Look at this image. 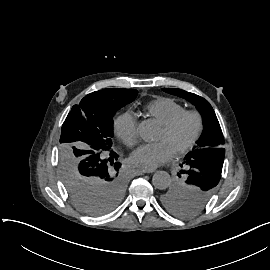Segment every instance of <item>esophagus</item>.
<instances>
[{
	"label": "esophagus",
	"mask_w": 270,
	"mask_h": 270,
	"mask_svg": "<svg viewBox=\"0 0 270 270\" xmlns=\"http://www.w3.org/2000/svg\"><path fill=\"white\" fill-rule=\"evenodd\" d=\"M141 172L142 173H153V172H155V168H151V167L142 168Z\"/></svg>",
	"instance_id": "esophagus-1"
}]
</instances>
